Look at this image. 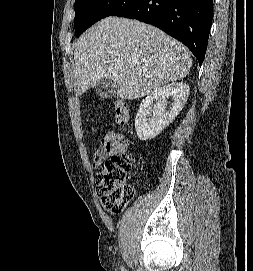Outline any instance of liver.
<instances>
[{"mask_svg": "<svg viewBox=\"0 0 253 271\" xmlns=\"http://www.w3.org/2000/svg\"><path fill=\"white\" fill-rule=\"evenodd\" d=\"M74 61L78 96L106 77L117 84V95L128 100L183 79L192 64L187 48L160 29L118 17L88 29L75 44Z\"/></svg>", "mask_w": 253, "mask_h": 271, "instance_id": "6515ba94", "label": "liver"}]
</instances>
